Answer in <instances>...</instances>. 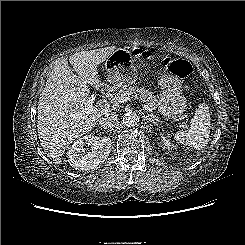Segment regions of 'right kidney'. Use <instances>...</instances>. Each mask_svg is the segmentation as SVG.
<instances>
[{
  "label": "right kidney",
  "mask_w": 245,
  "mask_h": 245,
  "mask_svg": "<svg viewBox=\"0 0 245 245\" xmlns=\"http://www.w3.org/2000/svg\"><path fill=\"white\" fill-rule=\"evenodd\" d=\"M85 146H91V151L85 152ZM111 140L108 137L86 135L77 139L69 148V164L78 170H91L103 163L110 154Z\"/></svg>",
  "instance_id": "obj_1"
}]
</instances>
